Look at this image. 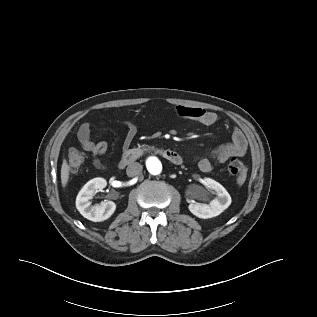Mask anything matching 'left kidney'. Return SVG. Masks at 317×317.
Returning <instances> with one entry per match:
<instances>
[{
  "label": "left kidney",
  "instance_id": "left-kidney-1",
  "mask_svg": "<svg viewBox=\"0 0 317 317\" xmlns=\"http://www.w3.org/2000/svg\"><path fill=\"white\" fill-rule=\"evenodd\" d=\"M203 185L217 196L209 204L191 202L188 206L189 211L198 218L208 219L216 217L227 209L231 204V197L227 190L218 182L211 178H204Z\"/></svg>",
  "mask_w": 317,
  "mask_h": 317
}]
</instances>
